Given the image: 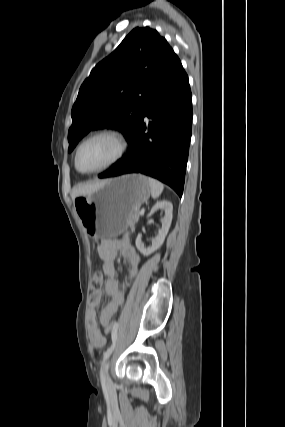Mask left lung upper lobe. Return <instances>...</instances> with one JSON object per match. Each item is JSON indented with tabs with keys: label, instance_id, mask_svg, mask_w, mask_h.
<instances>
[{
	"label": "left lung upper lobe",
	"instance_id": "obj_1",
	"mask_svg": "<svg viewBox=\"0 0 285 427\" xmlns=\"http://www.w3.org/2000/svg\"><path fill=\"white\" fill-rule=\"evenodd\" d=\"M172 51L156 30L133 29L81 85L71 111L68 151L98 128L118 129L128 140Z\"/></svg>",
	"mask_w": 285,
	"mask_h": 427
}]
</instances>
